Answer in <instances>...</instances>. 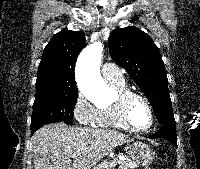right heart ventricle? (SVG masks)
Returning a JSON list of instances; mask_svg holds the SVG:
<instances>
[{"label":"right heart ventricle","mask_w":200,"mask_h":169,"mask_svg":"<svg viewBox=\"0 0 200 169\" xmlns=\"http://www.w3.org/2000/svg\"><path fill=\"white\" fill-rule=\"evenodd\" d=\"M118 93L128 90L125 81L109 83ZM96 126L104 128H114L119 130H129L120 119L116 102L113 104L100 108L97 114Z\"/></svg>","instance_id":"obj_1"}]
</instances>
